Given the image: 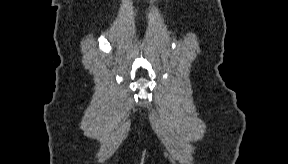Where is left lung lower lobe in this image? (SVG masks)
<instances>
[{
	"label": "left lung lower lobe",
	"instance_id": "1",
	"mask_svg": "<svg viewBox=\"0 0 288 164\" xmlns=\"http://www.w3.org/2000/svg\"><path fill=\"white\" fill-rule=\"evenodd\" d=\"M247 77L249 79V83L254 86H260L263 83V74L259 69H252L248 72Z\"/></svg>",
	"mask_w": 288,
	"mask_h": 164
}]
</instances>
